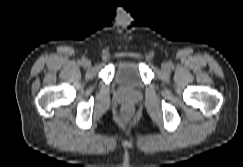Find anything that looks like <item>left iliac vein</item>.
Listing matches in <instances>:
<instances>
[{
  "label": "left iliac vein",
  "instance_id": "1",
  "mask_svg": "<svg viewBox=\"0 0 243 167\" xmlns=\"http://www.w3.org/2000/svg\"><path fill=\"white\" fill-rule=\"evenodd\" d=\"M169 68H170V65L168 63H163L162 64V70L164 72H167L169 70Z\"/></svg>",
  "mask_w": 243,
  "mask_h": 167
}]
</instances>
